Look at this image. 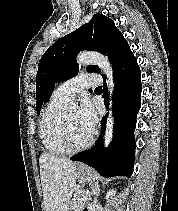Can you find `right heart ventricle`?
<instances>
[{
  "instance_id": "e07e8e85",
  "label": "right heart ventricle",
  "mask_w": 178,
  "mask_h": 211,
  "mask_svg": "<svg viewBox=\"0 0 178 211\" xmlns=\"http://www.w3.org/2000/svg\"><path fill=\"white\" fill-rule=\"evenodd\" d=\"M68 101L59 98L55 93L50 98L41 122L40 137L47 152L53 155H62L67 150L61 143V123L64 116V107Z\"/></svg>"
}]
</instances>
